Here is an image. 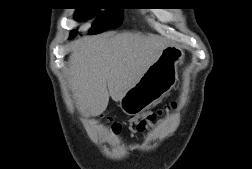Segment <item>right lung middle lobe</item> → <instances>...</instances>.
I'll list each match as a JSON object with an SVG mask.
<instances>
[{"instance_id": "dd1d6c3e", "label": "right lung middle lobe", "mask_w": 252, "mask_h": 169, "mask_svg": "<svg viewBox=\"0 0 252 169\" xmlns=\"http://www.w3.org/2000/svg\"><path fill=\"white\" fill-rule=\"evenodd\" d=\"M111 0H76L78 7L75 12L77 20H85L95 13L97 8L95 6L107 4ZM122 21V8H108V10L101 14L92 26V34L101 33L109 28H115L121 24ZM76 35L72 31L71 38Z\"/></svg>"}]
</instances>
